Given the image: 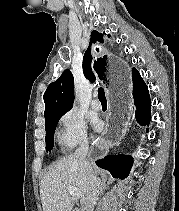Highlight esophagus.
Masks as SVG:
<instances>
[{"instance_id":"esophagus-1","label":"esophagus","mask_w":179,"mask_h":211,"mask_svg":"<svg viewBox=\"0 0 179 211\" xmlns=\"http://www.w3.org/2000/svg\"><path fill=\"white\" fill-rule=\"evenodd\" d=\"M101 48L100 46L98 47ZM94 69L98 79L105 82L108 94L107 113L109 119H106V128L101 133L99 144H93L91 159L94 163L98 159H103L106 149H111L112 145H118L122 141V133L128 130V120L131 113V82H129L128 64H123L121 56H105V52H94Z\"/></svg>"}]
</instances>
